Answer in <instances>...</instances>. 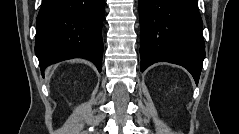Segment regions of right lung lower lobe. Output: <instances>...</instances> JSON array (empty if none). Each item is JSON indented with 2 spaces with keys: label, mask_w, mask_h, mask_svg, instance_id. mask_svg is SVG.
I'll use <instances>...</instances> for the list:
<instances>
[{
  "label": "right lung lower lobe",
  "mask_w": 239,
  "mask_h": 134,
  "mask_svg": "<svg viewBox=\"0 0 239 134\" xmlns=\"http://www.w3.org/2000/svg\"><path fill=\"white\" fill-rule=\"evenodd\" d=\"M104 0H42L35 54L43 73L54 63L85 58L102 69Z\"/></svg>",
  "instance_id": "right-lung-lower-lobe-1"
}]
</instances>
